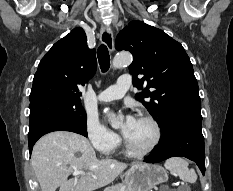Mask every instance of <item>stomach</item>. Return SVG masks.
Listing matches in <instances>:
<instances>
[{
	"mask_svg": "<svg viewBox=\"0 0 233 191\" xmlns=\"http://www.w3.org/2000/svg\"><path fill=\"white\" fill-rule=\"evenodd\" d=\"M166 170L157 164L138 163L125 173L124 184L129 191H152L158 184L166 182Z\"/></svg>",
	"mask_w": 233,
	"mask_h": 191,
	"instance_id": "0dacf381",
	"label": "stomach"
}]
</instances>
